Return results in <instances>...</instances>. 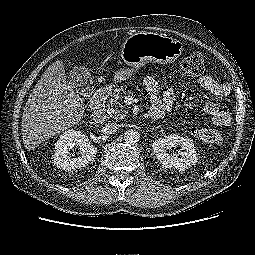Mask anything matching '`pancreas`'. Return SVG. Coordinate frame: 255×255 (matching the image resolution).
I'll return each instance as SVG.
<instances>
[{
  "label": "pancreas",
  "instance_id": "obj_1",
  "mask_svg": "<svg viewBox=\"0 0 255 255\" xmlns=\"http://www.w3.org/2000/svg\"><path fill=\"white\" fill-rule=\"evenodd\" d=\"M126 93V88L121 86L114 90L111 95L112 98L108 100L107 112L110 116L113 115L115 119H123L126 116L127 111L125 110V106L119 102L123 99L122 94L125 95Z\"/></svg>",
  "mask_w": 255,
  "mask_h": 255
}]
</instances>
